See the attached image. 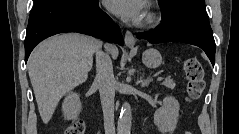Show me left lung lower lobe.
Here are the masks:
<instances>
[{
	"label": "left lung lower lobe",
	"instance_id": "1",
	"mask_svg": "<svg viewBox=\"0 0 239 134\" xmlns=\"http://www.w3.org/2000/svg\"><path fill=\"white\" fill-rule=\"evenodd\" d=\"M205 3L186 2L154 30L137 34L150 43L184 42L202 48L215 64L216 45Z\"/></svg>",
	"mask_w": 239,
	"mask_h": 134
}]
</instances>
